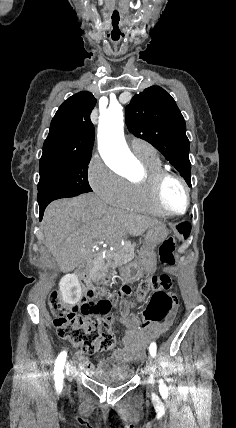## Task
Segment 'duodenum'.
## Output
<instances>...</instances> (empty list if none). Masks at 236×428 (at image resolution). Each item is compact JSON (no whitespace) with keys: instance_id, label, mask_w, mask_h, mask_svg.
Returning <instances> with one entry per match:
<instances>
[{"instance_id":"duodenum-1","label":"duodenum","mask_w":236,"mask_h":428,"mask_svg":"<svg viewBox=\"0 0 236 428\" xmlns=\"http://www.w3.org/2000/svg\"><path fill=\"white\" fill-rule=\"evenodd\" d=\"M92 260L84 261L78 268V275L88 286H92L93 279L91 275Z\"/></svg>"}]
</instances>
